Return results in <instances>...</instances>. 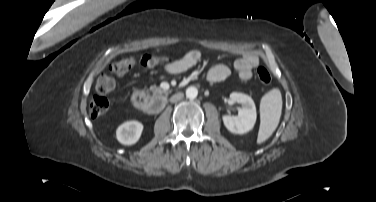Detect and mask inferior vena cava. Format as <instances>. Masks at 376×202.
Segmentation results:
<instances>
[{"mask_svg": "<svg viewBox=\"0 0 376 202\" xmlns=\"http://www.w3.org/2000/svg\"><path fill=\"white\" fill-rule=\"evenodd\" d=\"M181 98H183V94L182 93H178V94H176V95L173 96L172 101L175 102V101L180 100Z\"/></svg>", "mask_w": 376, "mask_h": 202, "instance_id": "obj_1", "label": "inferior vena cava"}]
</instances>
